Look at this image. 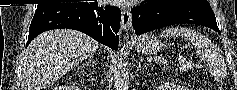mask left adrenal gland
I'll return each instance as SVG.
<instances>
[{"label": "left adrenal gland", "instance_id": "a2214340", "mask_svg": "<svg viewBox=\"0 0 237 90\" xmlns=\"http://www.w3.org/2000/svg\"><path fill=\"white\" fill-rule=\"evenodd\" d=\"M136 64H137V72H138V70H140V68H142V66H145V64H143V60H142L141 56H138V60H137Z\"/></svg>", "mask_w": 237, "mask_h": 90}]
</instances>
